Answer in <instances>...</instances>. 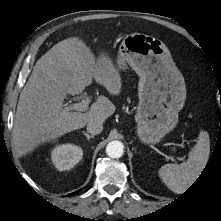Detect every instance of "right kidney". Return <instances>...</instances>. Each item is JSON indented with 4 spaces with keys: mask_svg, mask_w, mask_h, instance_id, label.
Returning a JSON list of instances; mask_svg holds the SVG:
<instances>
[{
    "mask_svg": "<svg viewBox=\"0 0 221 221\" xmlns=\"http://www.w3.org/2000/svg\"><path fill=\"white\" fill-rule=\"evenodd\" d=\"M82 156L81 147L68 143L56 146L51 152V160L59 171L73 168Z\"/></svg>",
    "mask_w": 221,
    "mask_h": 221,
    "instance_id": "obj_1",
    "label": "right kidney"
}]
</instances>
